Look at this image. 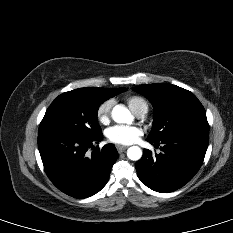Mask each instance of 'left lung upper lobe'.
<instances>
[{
    "instance_id": "left-lung-upper-lobe-1",
    "label": "left lung upper lobe",
    "mask_w": 233,
    "mask_h": 233,
    "mask_svg": "<svg viewBox=\"0 0 233 233\" xmlns=\"http://www.w3.org/2000/svg\"><path fill=\"white\" fill-rule=\"evenodd\" d=\"M134 91L149 99L154 122L147 139L160 142L179 135H209L206 112L190 91L172 84H143Z\"/></svg>"
}]
</instances>
